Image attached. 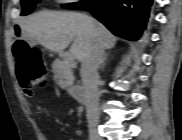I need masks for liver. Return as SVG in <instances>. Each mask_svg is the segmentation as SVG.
I'll return each instance as SVG.
<instances>
[{
    "mask_svg": "<svg viewBox=\"0 0 182 140\" xmlns=\"http://www.w3.org/2000/svg\"><path fill=\"white\" fill-rule=\"evenodd\" d=\"M22 37L35 40L53 52H61L73 41L70 52L83 62L94 43L111 49L116 37L100 22L77 12L42 11L19 23Z\"/></svg>",
    "mask_w": 182,
    "mask_h": 140,
    "instance_id": "liver-1",
    "label": "liver"
}]
</instances>
